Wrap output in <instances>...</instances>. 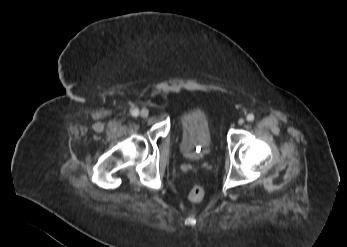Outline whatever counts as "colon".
<instances>
[{
	"label": "colon",
	"mask_w": 347,
	"mask_h": 247,
	"mask_svg": "<svg viewBox=\"0 0 347 247\" xmlns=\"http://www.w3.org/2000/svg\"><path fill=\"white\" fill-rule=\"evenodd\" d=\"M205 195L204 188L200 184H194L189 191V199L192 202H200Z\"/></svg>",
	"instance_id": "1"
}]
</instances>
